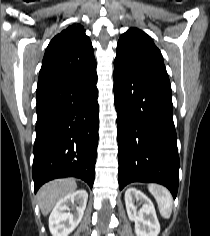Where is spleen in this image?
Segmentation results:
<instances>
[{"label":"spleen","mask_w":210,"mask_h":236,"mask_svg":"<svg viewBox=\"0 0 210 236\" xmlns=\"http://www.w3.org/2000/svg\"><path fill=\"white\" fill-rule=\"evenodd\" d=\"M148 190L156 199L162 217L165 219L170 218L173 205L171 193L164 187L156 184L148 185Z\"/></svg>","instance_id":"1"}]
</instances>
